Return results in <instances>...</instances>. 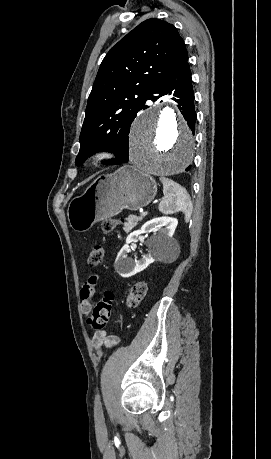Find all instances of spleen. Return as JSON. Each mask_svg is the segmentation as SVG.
I'll return each mask as SVG.
<instances>
[{
    "instance_id": "spleen-1",
    "label": "spleen",
    "mask_w": 271,
    "mask_h": 459,
    "mask_svg": "<svg viewBox=\"0 0 271 459\" xmlns=\"http://www.w3.org/2000/svg\"><path fill=\"white\" fill-rule=\"evenodd\" d=\"M160 182L163 184V194L165 196L164 200L160 202L158 210L162 214H174V212H183L185 216V222H189L193 206L191 200H185L183 194H181V186L173 182V180H168V178H163L161 176Z\"/></svg>"
}]
</instances>
